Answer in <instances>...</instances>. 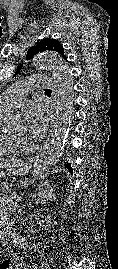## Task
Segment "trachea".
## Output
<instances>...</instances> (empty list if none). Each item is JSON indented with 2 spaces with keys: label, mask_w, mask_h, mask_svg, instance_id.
Segmentation results:
<instances>
[{
  "label": "trachea",
  "mask_w": 118,
  "mask_h": 269,
  "mask_svg": "<svg viewBox=\"0 0 118 269\" xmlns=\"http://www.w3.org/2000/svg\"><path fill=\"white\" fill-rule=\"evenodd\" d=\"M45 92H51V90L50 89H46Z\"/></svg>",
  "instance_id": "obj_1"
}]
</instances>
